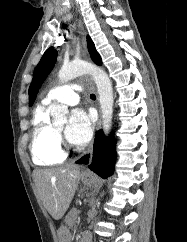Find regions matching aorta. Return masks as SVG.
<instances>
[{
    "label": "aorta",
    "instance_id": "aorta-1",
    "mask_svg": "<svg viewBox=\"0 0 187 242\" xmlns=\"http://www.w3.org/2000/svg\"><path fill=\"white\" fill-rule=\"evenodd\" d=\"M85 74L91 75L97 85L102 113V127L107 136L111 129L114 102L112 84L107 73L89 62L73 61L61 67L58 77L61 82H67ZM67 113L68 109L64 105L53 104L51 106V116L57 120L63 119Z\"/></svg>",
    "mask_w": 187,
    "mask_h": 242
}]
</instances>
